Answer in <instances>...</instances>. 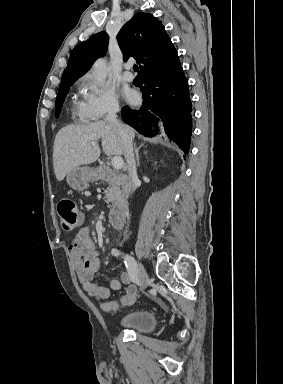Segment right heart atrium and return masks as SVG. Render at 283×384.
<instances>
[{
	"label": "right heart atrium",
	"mask_w": 283,
	"mask_h": 384,
	"mask_svg": "<svg viewBox=\"0 0 283 384\" xmlns=\"http://www.w3.org/2000/svg\"><path fill=\"white\" fill-rule=\"evenodd\" d=\"M79 89L82 94L80 118L84 122L98 126L120 110L114 88L107 82L97 80L93 74L86 73L82 77Z\"/></svg>",
	"instance_id": "d8ad5b80"
}]
</instances>
